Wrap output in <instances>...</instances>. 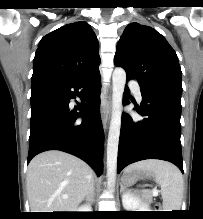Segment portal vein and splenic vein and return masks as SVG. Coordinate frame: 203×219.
<instances>
[{"label": "portal vein and splenic vein", "instance_id": "portal-vein-and-splenic-vein-1", "mask_svg": "<svg viewBox=\"0 0 203 219\" xmlns=\"http://www.w3.org/2000/svg\"><path fill=\"white\" fill-rule=\"evenodd\" d=\"M152 192H153V195H154V196H157V195H158V190H157V189H153ZM64 198H67V196H65Z\"/></svg>", "mask_w": 203, "mask_h": 219}]
</instances>
